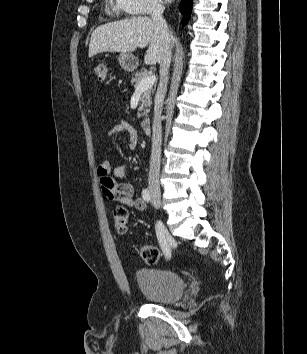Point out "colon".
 <instances>
[{"label":"colon","mask_w":307,"mask_h":354,"mask_svg":"<svg viewBox=\"0 0 307 354\" xmlns=\"http://www.w3.org/2000/svg\"><path fill=\"white\" fill-rule=\"evenodd\" d=\"M109 72L107 62L101 61L95 64L94 73L99 80H104ZM113 226L119 234H125L128 231V212L123 207H118L113 212ZM138 255L147 263H157L161 253L155 246L144 244L137 248Z\"/></svg>","instance_id":"colon-1"}]
</instances>
